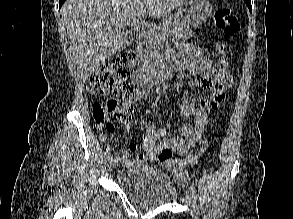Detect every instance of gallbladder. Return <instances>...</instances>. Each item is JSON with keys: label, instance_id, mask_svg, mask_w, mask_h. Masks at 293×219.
I'll use <instances>...</instances> for the list:
<instances>
[{"label": "gallbladder", "instance_id": "bac80fb5", "mask_svg": "<svg viewBox=\"0 0 293 219\" xmlns=\"http://www.w3.org/2000/svg\"><path fill=\"white\" fill-rule=\"evenodd\" d=\"M133 40H134L133 34H126L125 36H123V42L118 52L122 51L127 46H129Z\"/></svg>", "mask_w": 293, "mask_h": 219}]
</instances>
